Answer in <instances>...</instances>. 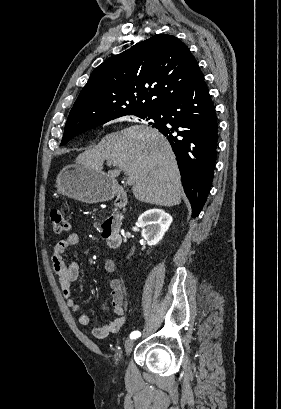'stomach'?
<instances>
[{
    "label": "stomach",
    "mask_w": 281,
    "mask_h": 409,
    "mask_svg": "<svg viewBox=\"0 0 281 409\" xmlns=\"http://www.w3.org/2000/svg\"><path fill=\"white\" fill-rule=\"evenodd\" d=\"M56 182L57 192L81 200V202L111 200L118 190L116 180H111L106 172H100L86 164L64 166Z\"/></svg>",
    "instance_id": "obj_1"
}]
</instances>
